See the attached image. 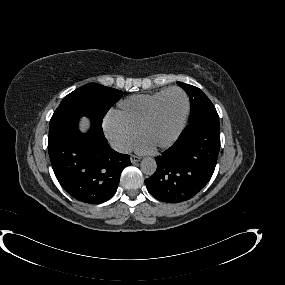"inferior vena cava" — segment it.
<instances>
[{"label": "inferior vena cava", "mask_w": 285, "mask_h": 285, "mask_svg": "<svg viewBox=\"0 0 285 285\" xmlns=\"http://www.w3.org/2000/svg\"><path fill=\"white\" fill-rule=\"evenodd\" d=\"M110 146L115 151L124 154L130 153L132 150V145L123 139H112L110 141Z\"/></svg>", "instance_id": "1"}]
</instances>
